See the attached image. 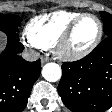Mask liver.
<instances>
[{"instance_id":"1","label":"liver","mask_w":112,"mask_h":112,"mask_svg":"<svg viewBox=\"0 0 112 112\" xmlns=\"http://www.w3.org/2000/svg\"><path fill=\"white\" fill-rule=\"evenodd\" d=\"M5 39H6V36L0 32V50L2 49V47L5 43Z\"/></svg>"}]
</instances>
